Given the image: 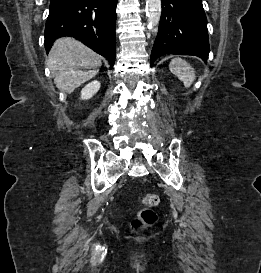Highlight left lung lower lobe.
<instances>
[{
	"label": "left lung lower lobe",
	"instance_id": "0a47b994",
	"mask_svg": "<svg viewBox=\"0 0 261 273\" xmlns=\"http://www.w3.org/2000/svg\"><path fill=\"white\" fill-rule=\"evenodd\" d=\"M209 51L202 0H162V14L150 65L165 54L195 55L206 62Z\"/></svg>",
	"mask_w": 261,
	"mask_h": 273
}]
</instances>
